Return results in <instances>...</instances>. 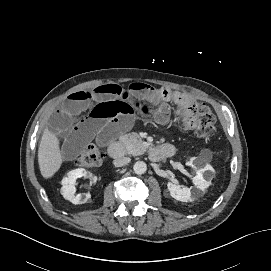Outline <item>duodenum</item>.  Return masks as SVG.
<instances>
[{
	"mask_svg": "<svg viewBox=\"0 0 271 271\" xmlns=\"http://www.w3.org/2000/svg\"><path fill=\"white\" fill-rule=\"evenodd\" d=\"M108 155L113 159H120L124 156V149L121 143L113 141L108 145ZM149 155L153 160H160L168 157V152L160 147H152Z\"/></svg>",
	"mask_w": 271,
	"mask_h": 271,
	"instance_id": "410a0bca",
	"label": "duodenum"
}]
</instances>
